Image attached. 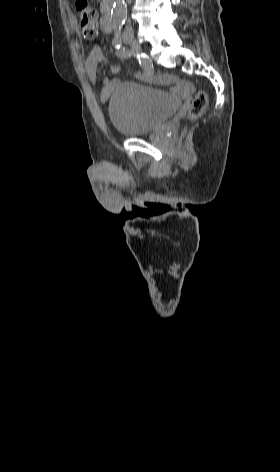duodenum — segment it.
Masks as SVG:
<instances>
[{
    "label": "duodenum",
    "instance_id": "410a0bca",
    "mask_svg": "<svg viewBox=\"0 0 280 472\" xmlns=\"http://www.w3.org/2000/svg\"><path fill=\"white\" fill-rule=\"evenodd\" d=\"M101 29L105 33H110L113 29V23L111 19V7L110 5H106L103 16L101 19Z\"/></svg>",
    "mask_w": 280,
    "mask_h": 472
}]
</instances>
